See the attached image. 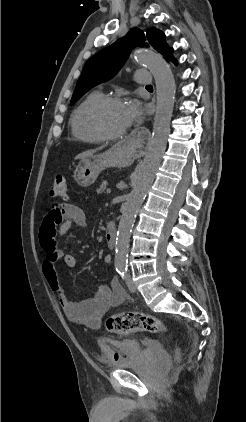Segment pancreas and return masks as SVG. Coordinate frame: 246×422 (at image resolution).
I'll return each mask as SVG.
<instances>
[{"label": "pancreas", "mask_w": 246, "mask_h": 422, "mask_svg": "<svg viewBox=\"0 0 246 422\" xmlns=\"http://www.w3.org/2000/svg\"><path fill=\"white\" fill-rule=\"evenodd\" d=\"M106 186H107V181L104 180L100 186V188L97 190V193H102L106 190Z\"/></svg>", "instance_id": "cf45deb5"}]
</instances>
